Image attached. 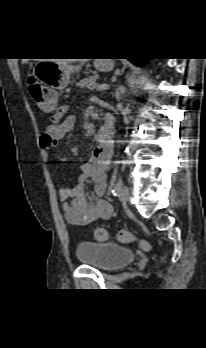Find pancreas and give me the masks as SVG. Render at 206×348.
I'll return each mask as SVG.
<instances>
[{
  "label": "pancreas",
  "instance_id": "cf45deb5",
  "mask_svg": "<svg viewBox=\"0 0 206 348\" xmlns=\"http://www.w3.org/2000/svg\"><path fill=\"white\" fill-rule=\"evenodd\" d=\"M96 80H97V76H90L87 78L82 79L77 86H79L80 88H89V89H94L97 87L96 84Z\"/></svg>",
  "mask_w": 206,
  "mask_h": 348
}]
</instances>
